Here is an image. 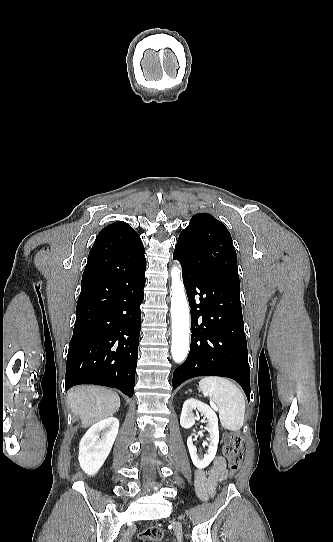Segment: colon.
Wrapping results in <instances>:
<instances>
[{
  "instance_id": "5ec220e1",
  "label": "colon",
  "mask_w": 333,
  "mask_h": 542,
  "mask_svg": "<svg viewBox=\"0 0 333 542\" xmlns=\"http://www.w3.org/2000/svg\"><path fill=\"white\" fill-rule=\"evenodd\" d=\"M222 451L226 457L227 465L231 473L238 471L243 455V439L239 433H227L224 437ZM141 542H161L163 532L156 525H151L140 531Z\"/></svg>"
}]
</instances>
